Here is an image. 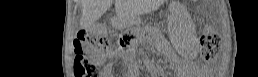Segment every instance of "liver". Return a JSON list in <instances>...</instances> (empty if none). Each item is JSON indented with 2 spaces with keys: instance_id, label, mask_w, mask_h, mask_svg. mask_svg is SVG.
Instances as JSON below:
<instances>
[{
  "instance_id": "6515ba94",
  "label": "liver",
  "mask_w": 258,
  "mask_h": 77,
  "mask_svg": "<svg viewBox=\"0 0 258 77\" xmlns=\"http://www.w3.org/2000/svg\"><path fill=\"white\" fill-rule=\"evenodd\" d=\"M112 3L113 0H82L81 26L83 28L91 26L111 7ZM115 11L121 18H128L131 15V8L125 0H115Z\"/></svg>"
}]
</instances>
